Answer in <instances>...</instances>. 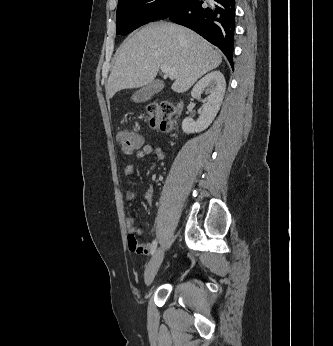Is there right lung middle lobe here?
Returning <instances> with one entry per match:
<instances>
[{
    "label": "right lung middle lobe",
    "instance_id": "1",
    "mask_svg": "<svg viewBox=\"0 0 333 346\" xmlns=\"http://www.w3.org/2000/svg\"><path fill=\"white\" fill-rule=\"evenodd\" d=\"M184 0H119L116 33L126 35L152 21L166 19Z\"/></svg>",
    "mask_w": 333,
    "mask_h": 346
}]
</instances>
